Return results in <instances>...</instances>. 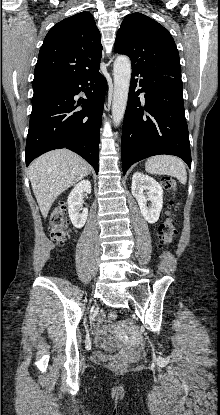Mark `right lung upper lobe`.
<instances>
[{
  "instance_id": "cb5924a9",
  "label": "right lung upper lobe",
  "mask_w": 220,
  "mask_h": 415,
  "mask_svg": "<svg viewBox=\"0 0 220 415\" xmlns=\"http://www.w3.org/2000/svg\"><path fill=\"white\" fill-rule=\"evenodd\" d=\"M100 32L90 12H81L54 25L41 46L33 84L68 83L99 70Z\"/></svg>"
}]
</instances>
